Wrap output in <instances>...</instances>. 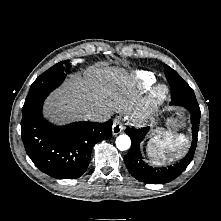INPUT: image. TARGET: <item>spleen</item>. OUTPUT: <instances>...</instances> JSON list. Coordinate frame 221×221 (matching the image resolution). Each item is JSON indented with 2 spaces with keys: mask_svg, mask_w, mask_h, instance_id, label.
<instances>
[{
  "mask_svg": "<svg viewBox=\"0 0 221 221\" xmlns=\"http://www.w3.org/2000/svg\"><path fill=\"white\" fill-rule=\"evenodd\" d=\"M188 143V138L184 134L174 135L171 132L157 130L147 144V153L154 159L152 161L154 164L160 165L181 158Z\"/></svg>",
  "mask_w": 221,
  "mask_h": 221,
  "instance_id": "spleen-1",
  "label": "spleen"
}]
</instances>
